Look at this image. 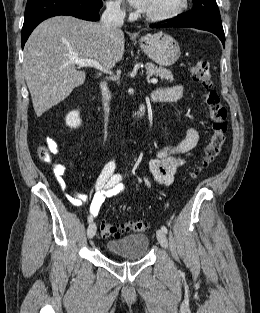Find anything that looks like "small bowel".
<instances>
[{"label":"small bowel","mask_w":260,"mask_h":313,"mask_svg":"<svg viewBox=\"0 0 260 313\" xmlns=\"http://www.w3.org/2000/svg\"><path fill=\"white\" fill-rule=\"evenodd\" d=\"M182 98L183 90L179 85L156 89L151 95V99L154 102L173 103ZM198 138L197 130L190 128L185 138L178 144L160 148L156 152L155 157L148 163L146 184L149 185L150 180L153 179L161 185H171L174 182L177 168L185 162L183 155L196 146ZM115 169L116 160L108 162L103 167L95 184L96 193L91 200L86 194L68 191L66 197L69 202L76 207H81L90 201V216L92 219L96 217L107 198L119 195L126 189L123 184V176L115 173ZM56 175L58 184L63 189H66L67 183L62 165L57 167Z\"/></svg>","instance_id":"1"}]
</instances>
